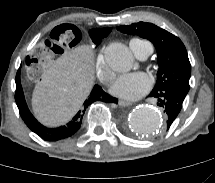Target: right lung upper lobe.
Returning a JSON list of instances; mask_svg holds the SVG:
<instances>
[{"instance_id": "cb5924a9", "label": "right lung upper lobe", "mask_w": 215, "mask_h": 183, "mask_svg": "<svg viewBox=\"0 0 215 183\" xmlns=\"http://www.w3.org/2000/svg\"><path fill=\"white\" fill-rule=\"evenodd\" d=\"M103 31H106V32H108V33H110L111 32V28H104V29H102Z\"/></svg>"}]
</instances>
